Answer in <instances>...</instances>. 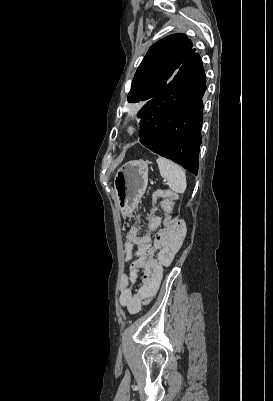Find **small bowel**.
Instances as JSON below:
<instances>
[{"instance_id":"c3829d8e","label":"small bowel","mask_w":273,"mask_h":401,"mask_svg":"<svg viewBox=\"0 0 273 401\" xmlns=\"http://www.w3.org/2000/svg\"><path fill=\"white\" fill-rule=\"evenodd\" d=\"M136 221V218H133ZM158 215H149L147 222L150 229L159 228ZM182 241H156L150 233L142 234L139 225L133 226L126 234V258L133 259L129 270L119 285V302L129 313L136 314L156 295L163 268L169 266L180 249ZM157 253V257L155 256ZM149 272L153 276L152 284H141L140 276ZM139 282V284H138ZM138 286L135 288V286Z\"/></svg>"}]
</instances>
